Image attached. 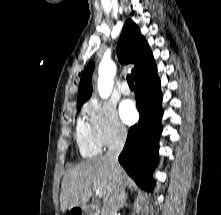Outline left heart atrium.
Here are the masks:
<instances>
[{
	"mask_svg": "<svg viewBox=\"0 0 221 215\" xmlns=\"http://www.w3.org/2000/svg\"><path fill=\"white\" fill-rule=\"evenodd\" d=\"M120 116L122 120L127 124H131L136 120L137 113L134 104L131 101L127 100L121 104Z\"/></svg>",
	"mask_w": 221,
	"mask_h": 215,
	"instance_id": "39dd6f15",
	"label": "left heart atrium"
}]
</instances>
